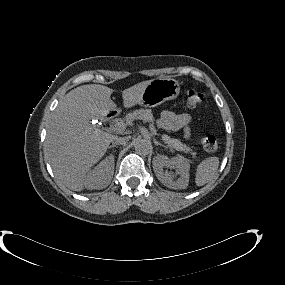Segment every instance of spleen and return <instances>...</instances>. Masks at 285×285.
<instances>
[{
	"mask_svg": "<svg viewBox=\"0 0 285 285\" xmlns=\"http://www.w3.org/2000/svg\"><path fill=\"white\" fill-rule=\"evenodd\" d=\"M219 167V158L216 156L208 157L197 167L195 183L197 186H203L210 182L215 176Z\"/></svg>",
	"mask_w": 285,
	"mask_h": 285,
	"instance_id": "spleen-1",
	"label": "spleen"
}]
</instances>
